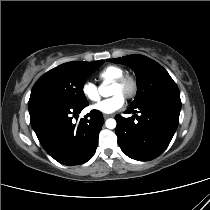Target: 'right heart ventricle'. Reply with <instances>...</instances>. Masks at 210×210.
Returning <instances> with one entry per match:
<instances>
[{"mask_svg":"<svg viewBox=\"0 0 210 210\" xmlns=\"http://www.w3.org/2000/svg\"><path fill=\"white\" fill-rule=\"evenodd\" d=\"M125 74L124 70L116 65H109L98 72V79L103 85L112 83L119 76Z\"/></svg>","mask_w":210,"mask_h":210,"instance_id":"e07e8e85","label":"right heart ventricle"}]
</instances>
